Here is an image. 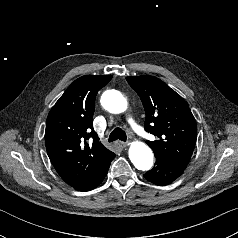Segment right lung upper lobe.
Returning a JSON list of instances; mask_svg holds the SVG:
<instances>
[{
    "mask_svg": "<svg viewBox=\"0 0 238 238\" xmlns=\"http://www.w3.org/2000/svg\"><path fill=\"white\" fill-rule=\"evenodd\" d=\"M111 75H86L75 80L50 110L45 130L47 154L70 186L90 177L115 154L105 148L92 126L97 92ZM92 138V143L87 141Z\"/></svg>",
    "mask_w": 238,
    "mask_h": 238,
    "instance_id": "right-lung-upper-lobe-1",
    "label": "right lung upper lobe"
}]
</instances>
